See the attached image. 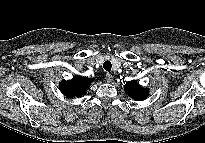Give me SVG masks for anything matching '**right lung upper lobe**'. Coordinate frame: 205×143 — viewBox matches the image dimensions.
I'll return each instance as SVG.
<instances>
[{
	"label": "right lung upper lobe",
	"instance_id": "cb5924a9",
	"mask_svg": "<svg viewBox=\"0 0 205 143\" xmlns=\"http://www.w3.org/2000/svg\"><path fill=\"white\" fill-rule=\"evenodd\" d=\"M92 81L93 79L91 78L75 76L72 80L62 81L60 90L68 98L81 97L86 93Z\"/></svg>",
	"mask_w": 205,
	"mask_h": 143
}]
</instances>
